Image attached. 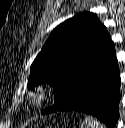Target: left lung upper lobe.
Wrapping results in <instances>:
<instances>
[{
    "label": "left lung upper lobe",
    "instance_id": "obj_1",
    "mask_svg": "<svg viewBox=\"0 0 125 128\" xmlns=\"http://www.w3.org/2000/svg\"><path fill=\"white\" fill-rule=\"evenodd\" d=\"M113 47L94 13L76 14L57 26L32 63L28 81V88L44 83L54 87L55 104L44 114L66 106L87 72Z\"/></svg>",
    "mask_w": 125,
    "mask_h": 128
}]
</instances>
